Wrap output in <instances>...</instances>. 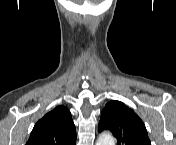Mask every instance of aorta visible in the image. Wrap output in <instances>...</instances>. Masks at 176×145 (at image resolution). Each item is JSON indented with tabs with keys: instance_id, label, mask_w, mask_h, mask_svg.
<instances>
[{
	"instance_id": "1",
	"label": "aorta",
	"mask_w": 176,
	"mask_h": 145,
	"mask_svg": "<svg viewBox=\"0 0 176 145\" xmlns=\"http://www.w3.org/2000/svg\"><path fill=\"white\" fill-rule=\"evenodd\" d=\"M115 141L110 133H102L99 135L96 145H114Z\"/></svg>"
}]
</instances>
